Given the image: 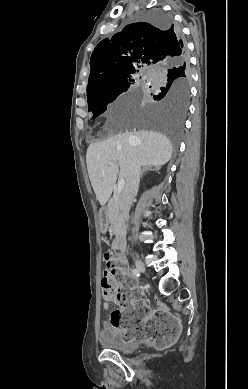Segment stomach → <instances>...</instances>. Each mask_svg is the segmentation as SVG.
<instances>
[{
	"instance_id": "obj_1",
	"label": "stomach",
	"mask_w": 248,
	"mask_h": 389,
	"mask_svg": "<svg viewBox=\"0 0 248 389\" xmlns=\"http://www.w3.org/2000/svg\"><path fill=\"white\" fill-rule=\"evenodd\" d=\"M108 209L106 207H101L100 208V213H101V220H100V225L101 227V234L102 235H107L109 227L107 226L108 221L110 219V214L107 213Z\"/></svg>"
}]
</instances>
